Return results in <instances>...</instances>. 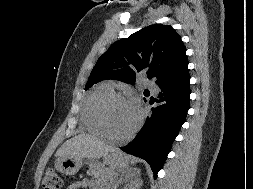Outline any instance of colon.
<instances>
[{
	"label": "colon",
	"instance_id": "5ec220e1",
	"mask_svg": "<svg viewBox=\"0 0 253 189\" xmlns=\"http://www.w3.org/2000/svg\"><path fill=\"white\" fill-rule=\"evenodd\" d=\"M61 185H62L61 175L53 169L48 170L43 179V183H42L43 188L44 189H59Z\"/></svg>",
	"mask_w": 253,
	"mask_h": 189
}]
</instances>
